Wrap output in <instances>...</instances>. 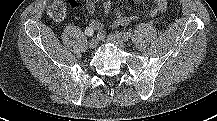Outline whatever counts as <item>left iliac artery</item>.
I'll return each mask as SVG.
<instances>
[{"label": "left iliac artery", "instance_id": "obj_1", "mask_svg": "<svg viewBox=\"0 0 217 121\" xmlns=\"http://www.w3.org/2000/svg\"><path fill=\"white\" fill-rule=\"evenodd\" d=\"M117 35L124 41H127L132 36V33L131 32H117Z\"/></svg>", "mask_w": 217, "mask_h": 121}]
</instances>
